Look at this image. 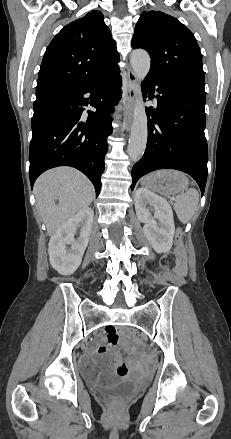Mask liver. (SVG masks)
Returning <instances> with one entry per match:
<instances>
[{"label": "liver", "mask_w": 231, "mask_h": 439, "mask_svg": "<svg viewBox=\"0 0 231 439\" xmlns=\"http://www.w3.org/2000/svg\"><path fill=\"white\" fill-rule=\"evenodd\" d=\"M34 194L47 234L53 236L67 220L89 207L94 198V187L80 171L58 167L46 171L36 180Z\"/></svg>", "instance_id": "obj_1"}]
</instances>
